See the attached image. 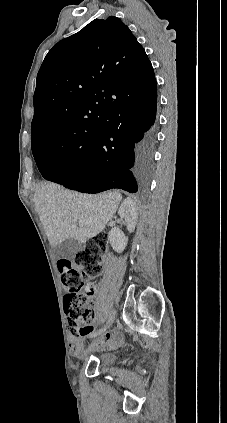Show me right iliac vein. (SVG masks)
Instances as JSON below:
<instances>
[{
  "label": "right iliac vein",
  "instance_id": "right-iliac-vein-1",
  "mask_svg": "<svg viewBox=\"0 0 227 423\" xmlns=\"http://www.w3.org/2000/svg\"><path fill=\"white\" fill-rule=\"evenodd\" d=\"M114 318H115V313H114V312H112V313L109 315V317H108V320H107V327H109V326L113 323ZM105 329H106V328H105ZM104 334H105V331H103V332L101 333V336H103Z\"/></svg>",
  "mask_w": 227,
  "mask_h": 423
}]
</instances>
